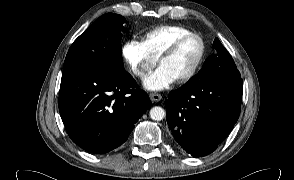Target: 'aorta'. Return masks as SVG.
I'll return each instance as SVG.
<instances>
[{
	"label": "aorta",
	"mask_w": 294,
	"mask_h": 180,
	"mask_svg": "<svg viewBox=\"0 0 294 180\" xmlns=\"http://www.w3.org/2000/svg\"><path fill=\"white\" fill-rule=\"evenodd\" d=\"M165 116V111L162 107L155 106L150 110V117L155 121H161Z\"/></svg>",
	"instance_id": "obj_1"
}]
</instances>
